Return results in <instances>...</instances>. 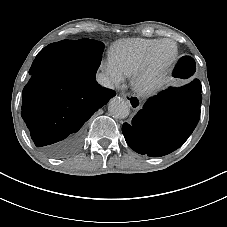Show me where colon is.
I'll list each match as a JSON object with an SVG mask.
<instances>
[{"instance_id":"colon-1","label":"colon","mask_w":227,"mask_h":227,"mask_svg":"<svg viewBox=\"0 0 227 227\" xmlns=\"http://www.w3.org/2000/svg\"><path fill=\"white\" fill-rule=\"evenodd\" d=\"M194 67V62L189 57H182L175 66L174 74L176 76H186L191 73Z\"/></svg>"}]
</instances>
